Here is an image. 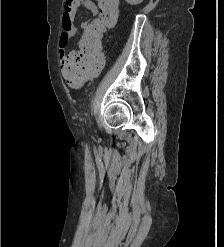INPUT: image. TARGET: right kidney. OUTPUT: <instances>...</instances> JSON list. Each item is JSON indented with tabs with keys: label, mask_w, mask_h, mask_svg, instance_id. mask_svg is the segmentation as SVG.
Wrapping results in <instances>:
<instances>
[{
	"label": "right kidney",
	"mask_w": 224,
	"mask_h": 247,
	"mask_svg": "<svg viewBox=\"0 0 224 247\" xmlns=\"http://www.w3.org/2000/svg\"><path fill=\"white\" fill-rule=\"evenodd\" d=\"M126 2H128V4H131V6H137V4H141L143 0H126Z\"/></svg>",
	"instance_id": "ca27d5eb"
}]
</instances>
